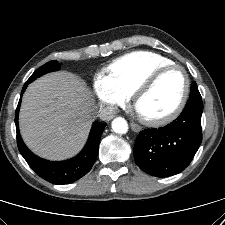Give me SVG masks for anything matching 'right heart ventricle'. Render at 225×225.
Wrapping results in <instances>:
<instances>
[{"label": "right heart ventricle", "instance_id": "right-heart-ventricle-1", "mask_svg": "<svg viewBox=\"0 0 225 225\" xmlns=\"http://www.w3.org/2000/svg\"><path fill=\"white\" fill-rule=\"evenodd\" d=\"M170 64H173V61L162 55L135 51L115 60L108 67L107 73L118 89L131 96L148 75Z\"/></svg>", "mask_w": 225, "mask_h": 225}]
</instances>
